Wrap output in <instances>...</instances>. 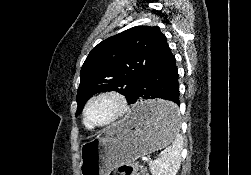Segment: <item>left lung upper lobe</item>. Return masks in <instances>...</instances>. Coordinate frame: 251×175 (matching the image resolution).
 <instances>
[{
  "label": "left lung upper lobe",
  "instance_id": "5c2ea615",
  "mask_svg": "<svg viewBox=\"0 0 251 175\" xmlns=\"http://www.w3.org/2000/svg\"><path fill=\"white\" fill-rule=\"evenodd\" d=\"M166 40L158 26H136L100 42L81 68L76 115L97 92L114 90L130 100L141 77L168 45Z\"/></svg>",
  "mask_w": 251,
  "mask_h": 175
}]
</instances>
